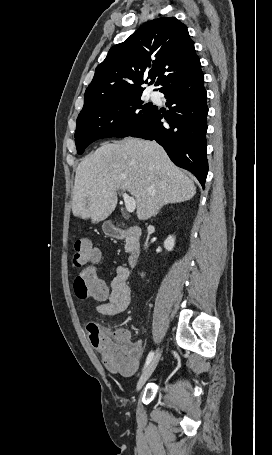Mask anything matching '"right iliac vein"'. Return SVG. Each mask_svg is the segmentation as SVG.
I'll list each match as a JSON object with an SVG mask.
<instances>
[{"label": "right iliac vein", "mask_w": 272, "mask_h": 455, "mask_svg": "<svg viewBox=\"0 0 272 455\" xmlns=\"http://www.w3.org/2000/svg\"><path fill=\"white\" fill-rule=\"evenodd\" d=\"M161 354H162V349H160L156 352V355L154 356V358L152 359V361L150 362L148 367L145 369V371L140 376L138 383H137V387H136L137 391L142 388V386L145 384V382L149 379V377L155 370V368L161 358Z\"/></svg>", "instance_id": "right-iliac-vein-1"}]
</instances>
